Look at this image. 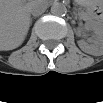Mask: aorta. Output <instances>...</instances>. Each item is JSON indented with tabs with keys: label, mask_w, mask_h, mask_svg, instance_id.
I'll return each instance as SVG.
<instances>
[{
	"label": "aorta",
	"mask_w": 103,
	"mask_h": 103,
	"mask_svg": "<svg viewBox=\"0 0 103 103\" xmlns=\"http://www.w3.org/2000/svg\"><path fill=\"white\" fill-rule=\"evenodd\" d=\"M67 12L66 6L61 2H55L51 6V13L56 16H63Z\"/></svg>",
	"instance_id": "aorta-1"
}]
</instances>
